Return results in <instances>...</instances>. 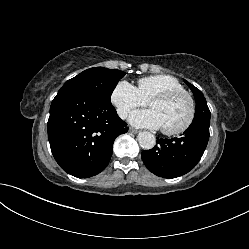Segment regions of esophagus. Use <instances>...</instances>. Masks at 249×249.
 <instances>
[{"mask_svg":"<svg viewBox=\"0 0 249 249\" xmlns=\"http://www.w3.org/2000/svg\"><path fill=\"white\" fill-rule=\"evenodd\" d=\"M130 133H133V134H136V133H138V130H136V129H134V128H129V130H128Z\"/></svg>","mask_w":249,"mask_h":249,"instance_id":"1","label":"esophagus"}]
</instances>
